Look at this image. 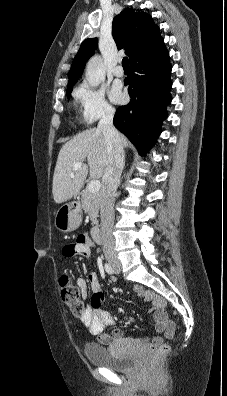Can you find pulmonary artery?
<instances>
[{
    "mask_svg": "<svg viewBox=\"0 0 227 396\" xmlns=\"http://www.w3.org/2000/svg\"><path fill=\"white\" fill-rule=\"evenodd\" d=\"M113 74H114L116 77H122V76L124 75V70H123V68H122L120 65H118V66H116V67L114 68Z\"/></svg>",
    "mask_w": 227,
    "mask_h": 396,
    "instance_id": "pulmonary-artery-1",
    "label": "pulmonary artery"
}]
</instances>
